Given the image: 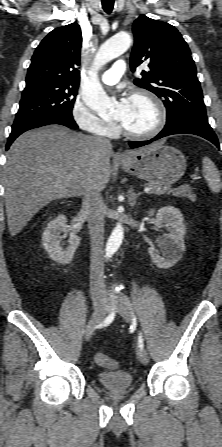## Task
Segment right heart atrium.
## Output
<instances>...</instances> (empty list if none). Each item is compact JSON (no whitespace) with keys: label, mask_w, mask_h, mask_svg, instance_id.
<instances>
[{"label":"right heart atrium","mask_w":222,"mask_h":447,"mask_svg":"<svg viewBox=\"0 0 222 447\" xmlns=\"http://www.w3.org/2000/svg\"><path fill=\"white\" fill-rule=\"evenodd\" d=\"M73 121L83 130L100 135H112L115 131V123L99 118L85 103L77 102L72 109Z\"/></svg>","instance_id":"d8ad5b80"}]
</instances>
